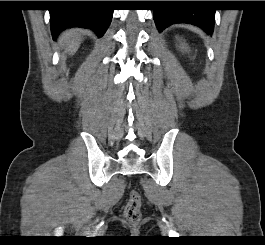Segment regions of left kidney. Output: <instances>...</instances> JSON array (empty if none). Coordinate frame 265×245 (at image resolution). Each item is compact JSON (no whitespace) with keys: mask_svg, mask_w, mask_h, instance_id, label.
Wrapping results in <instances>:
<instances>
[{"mask_svg":"<svg viewBox=\"0 0 265 245\" xmlns=\"http://www.w3.org/2000/svg\"><path fill=\"white\" fill-rule=\"evenodd\" d=\"M176 39L179 42V48L181 49V51L188 52L189 51V47L185 43V41L182 38H178V37H176Z\"/></svg>","mask_w":265,"mask_h":245,"instance_id":"5707ae66","label":"left kidney"}]
</instances>
